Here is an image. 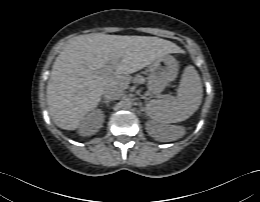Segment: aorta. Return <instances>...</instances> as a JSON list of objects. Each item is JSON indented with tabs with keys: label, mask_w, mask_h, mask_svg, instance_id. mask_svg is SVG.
I'll return each instance as SVG.
<instances>
[{
	"label": "aorta",
	"mask_w": 260,
	"mask_h": 202,
	"mask_svg": "<svg viewBox=\"0 0 260 202\" xmlns=\"http://www.w3.org/2000/svg\"><path fill=\"white\" fill-rule=\"evenodd\" d=\"M133 103L130 99H124L122 101V107L126 110H129L132 107Z\"/></svg>",
	"instance_id": "762f6f07"
}]
</instances>
